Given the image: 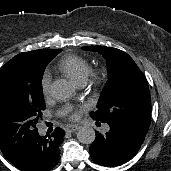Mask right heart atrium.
<instances>
[{
  "label": "right heart atrium",
  "instance_id": "right-heart-atrium-1",
  "mask_svg": "<svg viewBox=\"0 0 171 171\" xmlns=\"http://www.w3.org/2000/svg\"><path fill=\"white\" fill-rule=\"evenodd\" d=\"M50 86H51V75L49 72H45L41 79V89L45 97L50 95Z\"/></svg>",
  "mask_w": 171,
  "mask_h": 171
}]
</instances>
